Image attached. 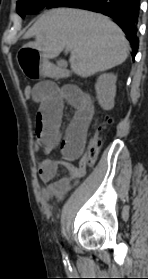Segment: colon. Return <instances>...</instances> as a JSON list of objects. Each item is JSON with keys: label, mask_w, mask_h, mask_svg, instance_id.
<instances>
[{"label": "colon", "mask_w": 148, "mask_h": 279, "mask_svg": "<svg viewBox=\"0 0 148 279\" xmlns=\"http://www.w3.org/2000/svg\"><path fill=\"white\" fill-rule=\"evenodd\" d=\"M32 91H33V87L30 85H26L23 87V93H24L25 97H27V98H31ZM109 122H111V119L107 118L106 123H109ZM103 140H104L103 135L99 131L89 141V143L86 147V151L81 160L82 167L85 168L86 166H91L96 161L98 152L103 144Z\"/></svg>", "instance_id": "obj_1"}]
</instances>
